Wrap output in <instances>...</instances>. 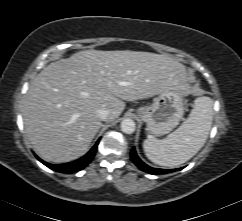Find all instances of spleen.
<instances>
[{
    "label": "spleen",
    "instance_id": "1",
    "mask_svg": "<svg viewBox=\"0 0 242 221\" xmlns=\"http://www.w3.org/2000/svg\"><path fill=\"white\" fill-rule=\"evenodd\" d=\"M213 120V100L210 97L195 99L189 117L166 138L152 137L143 142L146 157L153 163L176 167L195 156L204 146Z\"/></svg>",
    "mask_w": 242,
    "mask_h": 221
}]
</instances>
